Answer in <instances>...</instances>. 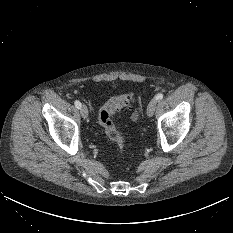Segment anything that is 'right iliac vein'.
I'll list each match as a JSON object with an SVG mask.
<instances>
[{"label":"right iliac vein","mask_w":233,"mask_h":233,"mask_svg":"<svg viewBox=\"0 0 233 233\" xmlns=\"http://www.w3.org/2000/svg\"><path fill=\"white\" fill-rule=\"evenodd\" d=\"M80 113H81L82 118L86 119L88 117V108L86 105L81 106Z\"/></svg>","instance_id":"63e3f726"}]
</instances>
